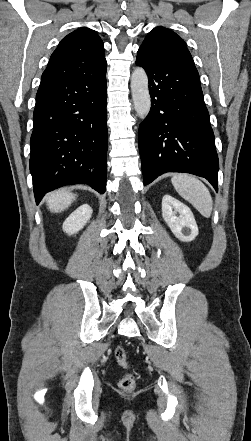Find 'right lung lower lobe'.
I'll return each instance as SVG.
<instances>
[{"label":"right lung lower lobe","instance_id":"right-lung-lower-lobe-1","mask_svg":"<svg viewBox=\"0 0 251 441\" xmlns=\"http://www.w3.org/2000/svg\"><path fill=\"white\" fill-rule=\"evenodd\" d=\"M30 172L38 204L49 191L84 183L103 194L107 173L106 67L42 79L33 114Z\"/></svg>","mask_w":251,"mask_h":441}]
</instances>
